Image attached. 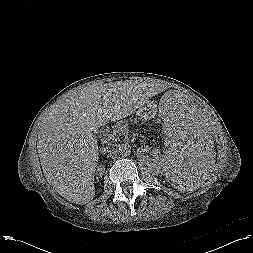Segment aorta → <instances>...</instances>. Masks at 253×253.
<instances>
[{"label":"aorta","instance_id":"obj_1","mask_svg":"<svg viewBox=\"0 0 253 253\" xmlns=\"http://www.w3.org/2000/svg\"><path fill=\"white\" fill-rule=\"evenodd\" d=\"M118 152L122 156H128L131 153V146L128 143H122L118 147Z\"/></svg>","mask_w":253,"mask_h":253}]
</instances>
